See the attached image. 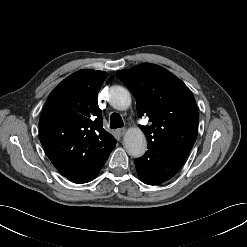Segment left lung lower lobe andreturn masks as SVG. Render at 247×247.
<instances>
[{
  "label": "left lung lower lobe",
  "instance_id": "left-lung-lower-lobe-1",
  "mask_svg": "<svg viewBox=\"0 0 247 247\" xmlns=\"http://www.w3.org/2000/svg\"><path fill=\"white\" fill-rule=\"evenodd\" d=\"M191 149L178 144L156 147L135 160L140 179L148 185H158L172 178L181 168Z\"/></svg>",
  "mask_w": 247,
  "mask_h": 247
}]
</instances>
